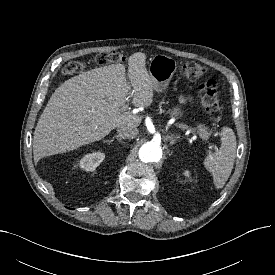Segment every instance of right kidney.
<instances>
[{
  "label": "right kidney",
  "mask_w": 275,
  "mask_h": 275,
  "mask_svg": "<svg viewBox=\"0 0 275 275\" xmlns=\"http://www.w3.org/2000/svg\"><path fill=\"white\" fill-rule=\"evenodd\" d=\"M105 155L101 152H94L85 155L80 161L79 166L80 168L86 171H94L97 166L104 160Z\"/></svg>",
  "instance_id": "obj_1"
}]
</instances>
